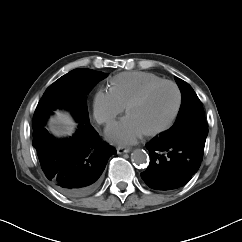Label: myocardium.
I'll return each mask as SVG.
<instances>
[{
  "label": "myocardium",
  "mask_w": 242,
  "mask_h": 242,
  "mask_svg": "<svg viewBox=\"0 0 242 242\" xmlns=\"http://www.w3.org/2000/svg\"><path fill=\"white\" fill-rule=\"evenodd\" d=\"M164 84L171 85L176 91L177 102H176L175 109H174L173 114L171 115L170 119L164 125H162L159 128H156L154 130L144 132L145 136L152 137V136L159 135V134L169 130L174 125V123L179 115L181 105H182V93H181L179 86L171 80H161V81L152 83L149 86H147L146 88H144L138 95H136L126 106V112H127V114H129L130 110L135 105L144 101L154 89H156L157 87L164 85Z\"/></svg>",
  "instance_id": "1"
}]
</instances>
